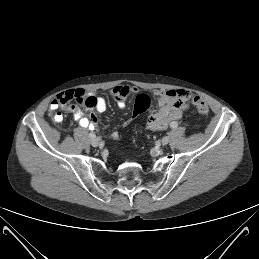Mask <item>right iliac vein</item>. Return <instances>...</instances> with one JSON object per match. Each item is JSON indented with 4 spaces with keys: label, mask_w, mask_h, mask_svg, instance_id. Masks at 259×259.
<instances>
[{
    "label": "right iliac vein",
    "mask_w": 259,
    "mask_h": 259,
    "mask_svg": "<svg viewBox=\"0 0 259 259\" xmlns=\"http://www.w3.org/2000/svg\"><path fill=\"white\" fill-rule=\"evenodd\" d=\"M91 144H92V146L97 147L100 144L99 138L95 137V138L91 139Z\"/></svg>",
    "instance_id": "right-iliac-vein-1"
}]
</instances>
